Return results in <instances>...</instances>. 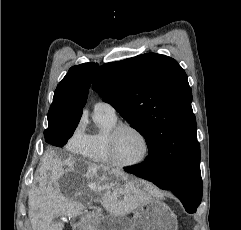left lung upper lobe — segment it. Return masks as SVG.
Returning <instances> with one entry per match:
<instances>
[{
	"label": "left lung upper lobe",
	"instance_id": "1",
	"mask_svg": "<svg viewBox=\"0 0 241 230\" xmlns=\"http://www.w3.org/2000/svg\"><path fill=\"white\" fill-rule=\"evenodd\" d=\"M93 90L146 139L149 153L169 160V184L177 186L200 163L192 91L176 60L147 53L102 65Z\"/></svg>",
	"mask_w": 241,
	"mask_h": 230
}]
</instances>
